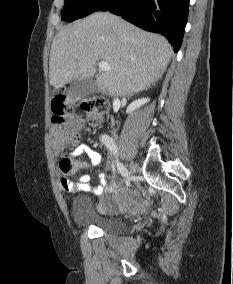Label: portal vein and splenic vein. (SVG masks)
<instances>
[{
  "mask_svg": "<svg viewBox=\"0 0 233 284\" xmlns=\"http://www.w3.org/2000/svg\"><path fill=\"white\" fill-rule=\"evenodd\" d=\"M98 66H99V69L101 71H109L110 70V65L105 61H100L98 63Z\"/></svg>",
  "mask_w": 233,
  "mask_h": 284,
  "instance_id": "18ae733b",
  "label": "portal vein and splenic vein"
}]
</instances>
